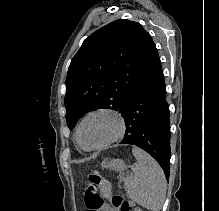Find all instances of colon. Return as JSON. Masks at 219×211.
<instances>
[{
    "label": "colon",
    "mask_w": 219,
    "mask_h": 211,
    "mask_svg": "<svg viewBox=\"0 0 219 211\" xmlns=\"http://www.w3.org/2000/svg\"><path fill=\"white\" fill-rule=\"evenodd\" d=\"M89 182L100 188L101 193L108 198L110 205L117 211H139L121 195L112 194L111 183L97 170H92L88 176Z\"/></svg>",
    "instance_id": "obj_1"
}]
</instances>
